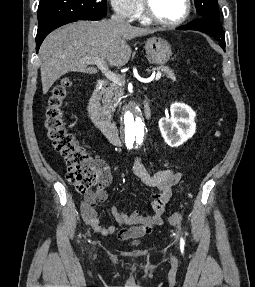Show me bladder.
Returning a JSON list of instances; mask_svg holds the SVG:
<instances>
[{
  "instance_id": "1",
  "label": "bladder",
  "mask_w": 255,
  "mask_h": 287,
  "mask_svg": "<svg viewBox=\"0 0 255 287\" xmlns=\"http://www.w3.org/2000/svg\"><path fill=\"white\" fill-rule=\"evenodd\" d=\"M140 243V241L139 240H135V241H133V244H135V245H138Z\"/></svg>"
}]
</instances>
